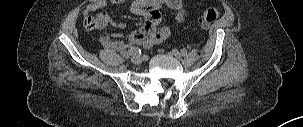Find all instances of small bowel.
<instances>
[{"mask_svg":"<svg viewBox=\"0 0 303 127\" xmlns=\"http://www.w3.org/2000/svg\"><path fill=\"white\" fill-rule=\"evenodd\" d=\"M127 0H95L90 3L85 14L98 11L106 7L109 3L122 4ZM168 8L175 12V19L177 22H182L185 17L186 9L181 0H134L131 3V11L145 18L144 24L133 34L130 35L128 42L114 40L110 35L104 34L100 38L101 44L109 49L116 51H126L134 45L142 46L143 48H150L156 44L162 43L169 36V29L166 27H159L161 23V10ZM111 24L117 28H124V24L114 22L108 14L99 13L96 16V25L98 28H104Z\"/></svg>","mask_w":303,"mask_h":127,"instance_id":"c3829d8e","label":"small bowel"}]
</instances>
